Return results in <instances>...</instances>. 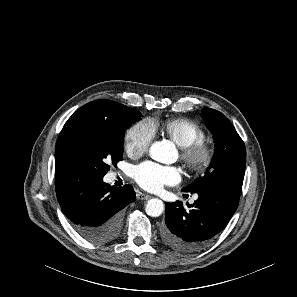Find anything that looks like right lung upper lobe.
I'll return each mask as SVG.
<instances>
[{
    "label": "right lung upper lobe",
    "mask_w": 297,
    "mask_h": 297,
    "mask_svg": "<svg viewBox=\"0 0 297 297\" xmlns=\"http://www.w3.org/2000/svg\"><path fill=\"white\" fill-rule=\"evenodd\" d=\"M120 103L111 100H96L78 109L65 123L55 149V170H65L61 160V146L69 131L78 124L115 128L120 124Z\"/></svg>",
    "instance_id": "right-lung-upper-lobe-1"
}]
</instances>
